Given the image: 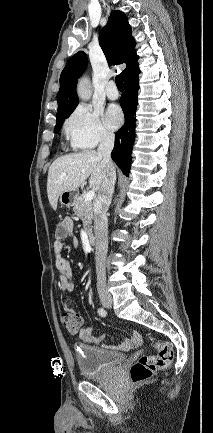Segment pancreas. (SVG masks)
<instances>
[{"label":"pancreas","instance_id":"obj_1","mask_svg":"<svg viewBox=\"0 0 213 433\" xmlns=\"http://www.w3.org/2000/svg\"><path fill=\"white\" fill-rule=\"evenodd\" d=\"M75 215L83 221V226L86 229L88 235L92 236L91 223L93 219V207L92 203L85 201L84 196H79L74 201L73 208Z\"/></svg>","mask_w":213,"mask_h":433}]
</instances>
